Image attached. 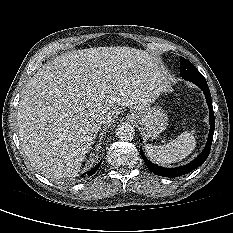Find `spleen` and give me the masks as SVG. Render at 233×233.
I'll return each instance as SVG.
<instances>
[{
    "label": "spleen",
    "instance_id": "1",
    "mask_svg": "<svg viewBox=\"0 0 233 233\" xmlns=\"http://www.w3.org/2000/svg\"><path fill=\"white\" fill-rule=\"evenodd\" d=\"M196 147L193 131H184L175 140L163 145H145L149 159L156 164H171L186 158Z\"/></svg>",
    "mask_w": 233,
    "mask_h": 233
}]
</instances>
